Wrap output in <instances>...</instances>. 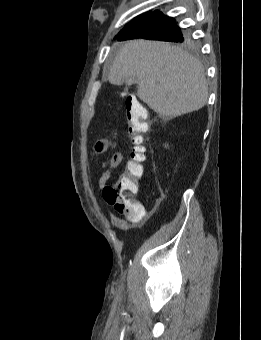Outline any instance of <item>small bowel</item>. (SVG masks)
Instances as JSON below:
<instances>
[{"label":"small bowel","instance_id":"small-bowel-1","mask_svg":"<svg viewBox=\"0 0 261 340\" xmlns=\"http://www.w3.org/2000/svg\"><path fill=\"white\" fill-rule=\"evenodd\" d=\"M109 147L110 141L107 138H102L95 143L91 156L94 157L95 155L101 154L107 151ZM122 160L123 154L121 152H115L112 155L107 170L101 175L98 180V187L100 190L105 189L107 182L112 177L113 172L116 170V168L121 164ZM145 214V210L143 214L139 216L126 215L124 218H120L113 214H110V221L115 227L119 228L120 230L128 231L134 228L145 217Z\"/></svg>","mask_w":261,"mask_h":340}]
</instances>
